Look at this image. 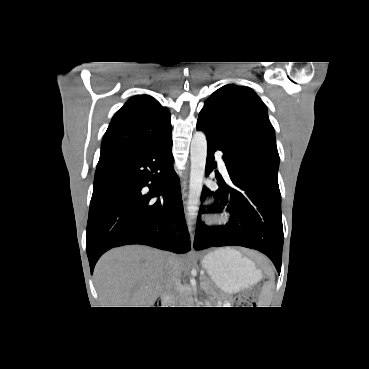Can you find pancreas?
<instances>
[{
  "instance_id": "cf45deb5",
  "label": "pancreas",
  "mask_w": 369,
  "mask_h": 369,
  "mask_svg": "<svg viewBox=\"0 0 369 369\" xmlns=\"http://www.w3.org/2000/svg\"><path fill=\"white\" fill-rule=\"evenodd\" d=\"M201 287L203 288V290H205L206 292H210L213 290V286H212V283L206 279V278H203L202 279V282H201Z\"/></svg>"
}]
</instances>
